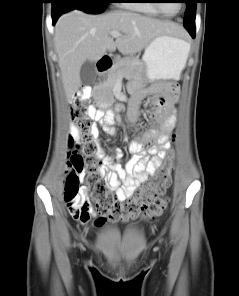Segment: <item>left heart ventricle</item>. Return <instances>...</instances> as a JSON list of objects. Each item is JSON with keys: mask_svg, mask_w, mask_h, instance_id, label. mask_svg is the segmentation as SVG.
<instances>
[{"mask_svg": "<svg viewBox=\"0 0 239 296\" xmlns=\"http://www.w3.org/2000/svg\"><path fill=\"white\" fill-rule=\"evenodd\" d=\"M161 6L163 7V9L169 13V14H173L177 11L179 3H175V2H171V1H162V3H160Z\"/></svg>", "mask_w": 239, "mask_h": 296, "instance_id": "obj_1", "label": "left heart ventricle"}]
</instances>
